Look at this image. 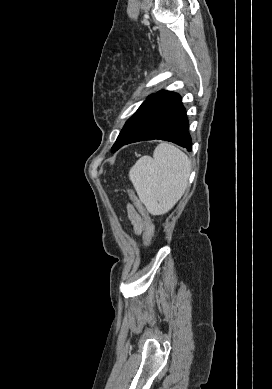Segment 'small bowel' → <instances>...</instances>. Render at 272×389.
<instances>
[{
    "instance_id": "small-bowel-1",
    "label": "small bowel",
    "mask_w": 272,
    "mask_h": 389,
    "mask_svg": "<svg viewBox=\"0 0 272 389\" xmlns=\"http://www.w3.org/2000/svg\"><path fill=\"white\" fill-rule=\"evenodd\" d=\"M127 212H128V217L131 221L134 233L140 234L144 228L143 219H142L140 213L132 205L128 206Z\"/></svg>"
}]
</instances>
